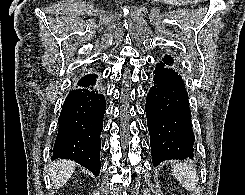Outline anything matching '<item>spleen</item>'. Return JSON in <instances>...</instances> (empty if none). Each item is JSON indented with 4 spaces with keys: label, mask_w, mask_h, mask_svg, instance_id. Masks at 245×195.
<instances>
[{
    "label": "spleen",
    "mask_w": 245,
    "mask_h": 195,
    "mask_svg": "<svg viewBox=\"0 0 245 195\" xmlns=\"http://www.w3.org/2000/svg\"><path fill=\"white\" fill-rule=\"evenodd\" d=\"M172 168L175 177L187 191H196L198 176L192 164L175 162Z\"/></svg>",
    "instance_id": "obj_1"
}]
</instances>
